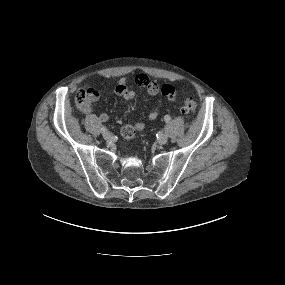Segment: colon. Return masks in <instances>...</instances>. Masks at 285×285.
Here are the masks:
<instances>
[{
    "label": "colon",
    "mask_w": 285,
    "mask_h": 285,
    "mask_svg": "<svg viewBox=\"0 0 285 285\" xmlns=\"http://www.w3.org/2000/svg\"><path fill=\"white\" fill-rule=\"evenodd\" d=\"M94 91L95 90L93 89L80 90L76 96L77 102L82 105H85L88 102L89 98L93 95ZM196 107L197 102L194 98L188 97L184 100L183 111L185 113H193L196 110ZM135 133V128L131 124H127L122 128V136L126 140L132 139Z\"/></svg>",
    "instance_id": "5ec220e1"
}]
</instances>
